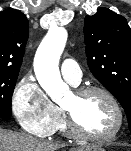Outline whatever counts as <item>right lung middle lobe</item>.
<instances>
[{"instance_id":"right-lung-middle-lobe-1","label":"right lung middle lobe","mask_w":131,"mask_h":151,"mask_svg":"<svg viewBox=\"0 0 131 151\" xmlns=\"http://www.w3.org/2000/svg\"><path fill=\"white\" fill-rule=\"evenodd\" d=\"M18 73L0 71V118L11 117V100Z\"/></svg>"}]
</instances>
